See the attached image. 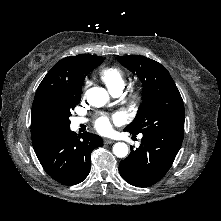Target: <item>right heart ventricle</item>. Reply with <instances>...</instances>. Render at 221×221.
<instances>
[{
  "label": "right heart ventricle",
  "instance_id": "obj_1",
  "mask_svg": "<svg viewBox=\"0 0 221 221\" xmlns=\"http://www.w3.org/2000/svg\"><path fill=\"white\" fill-rule=\"evenodd\" d=\"M99 76L110 92L123 89L125 86V74L119 67H105L100 70Z\"/></svg>",
  "mask_w": 221,
  "mask_h": 221
}]
</instances>
